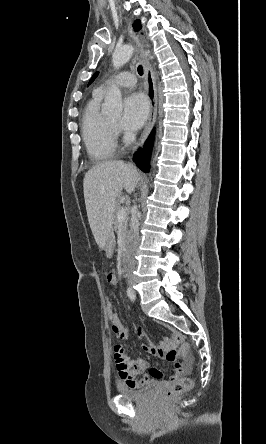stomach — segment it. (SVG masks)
Wrapping results in <instances>:
<instances>
[{"mask_svg": "<svg viewBox=\"0 0 266 444\" xmlns=\"http://www.w3.org/2000/svg\"><path fill=\"white\" fill-rule=\"evenodd\" d=\"M107 241H108V242H109V241H111V237H109ZM107 241H106V242H107ZM105 246H106V247H107V249H108V246H107V245H105ZM108 255H110V253H109V252H108Z\"/></svg>", "mask_w": 266, "mask_h": 444, "instance_id": "stomach-1", "label": "stomach"}]
</instances>
